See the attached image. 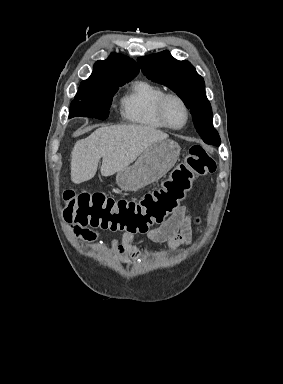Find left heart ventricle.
Here are the masks:
<instances>
[{"label": "left heart ventricle", "mask_w": 283, "mask_h": 384, "mask_svg": "<svg viewBox=\"0 0 283 384\" xmlns=\"http://www.w3.org/2000/svg\"><path fill=\"white\" fill-rule=\"evenodd\" d=\"M165 115L169 124L174 127L183 125L185 121V112L181 104L175 99H170L167 102Z\"/></svg>", "instance_id": "1"}]
</instances>
